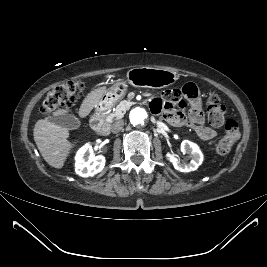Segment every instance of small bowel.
<instances>
[{
	"instance_id": "obj_1",
	"label": "small bowel",
	"mask_w": 267,
	"mask_h": 267,
	"mask_svg": "<svg viewBox=\"0 0 267 267\" xmlns=\"http://www.w3.org/2000/svg\"><path fill=\"white\" fill-rule=\"evenodd\" d=\"M187 106L189 110L186 114ZM150 108L154 113L162 114L172 125L191 128L203 140L208 141L216 136V131L205 125L202 100L194 83L165 91L161 98H154L150 102Z\"/></svg>"
}]
</instances>
